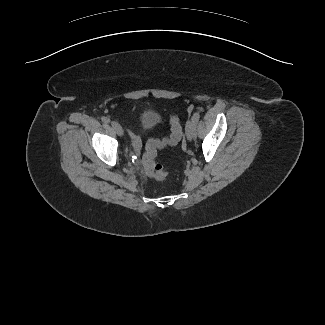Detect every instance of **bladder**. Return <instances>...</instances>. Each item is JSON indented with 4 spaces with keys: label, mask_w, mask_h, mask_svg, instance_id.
Returning <instances> with one entry per match:
<instances>
[{
    "label": "bladder",
    "mask_w": 325,
    "mask_h": 325,
    "mask_svg": "<svg viewBox=\"0 0 325 325\" xmlns=\"http://www.w3.org/2000/svg\"><path fill=\"white\" fill-rule=\"evenodd\" d=\"M161 120V115L155 110L143 111L140 115V125L143 129H151Z\"/></svg>",
    "instance_id": "1"
}]
</instances>
